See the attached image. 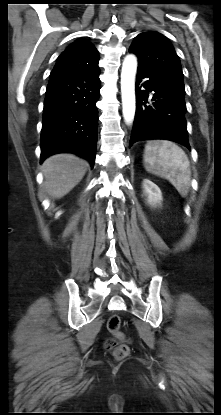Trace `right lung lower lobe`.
Segmentation results:
<instances>
[{
  "mask_svg": "<svg viewBox=\"0 0 221 415\" xmlns=\"http://www.w3.org/2000/svg\"><path fill=\"white\" fill-rule=\"evenodd\" d=\"M99 69L50 78L41 130V162L48 156L70 152L93 167L96 155L100 80Z\"/></svg>",
  "mask_w": 221,
  "mask_h": 415,
  "instance_id": "obj_1",
  "label": "right lung lower lobe"
}]
</instances>
